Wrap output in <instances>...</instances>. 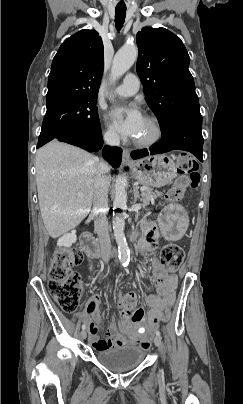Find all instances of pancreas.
I'll list each match as a JSON object with an SVG mask.
<instances>
[{
  "label": "pancreas",
  "mask_w": 243,
  "mask_h": 404,
  "mask_svg": "<svg viewBox=\"0 0 243 404\" xmlns=\"http://www.w3.org/2000/svg\"><path fill=\"white\" fill-rule=\"evenodd\" d=\"M159 196H162V192H157V190L153 192V188H148V190H144V192H142V198H141L143 206H148L151 200H154V198H159Z\"/></svg>",
  "instance_id": "1"
}]
</instances>
